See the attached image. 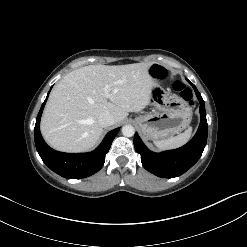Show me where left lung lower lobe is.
Wrapping results in <instances>:
<instances>
[{"label":"left lung lower lobe","mask_w":247,"mask_h":247,"mask_svg":"<svg viewBox=\"0 0 247 247\" xmlns=\"http://www.w3.org/2000/svg\"><path fill=\"white\" fill-rule=\"evenodd\" d=\"M187 81L194 88L200 102L201 121L194 138L181 148L154 153L147 149L137 133L134 136V146L141 155L144 168L159 177L173 178L182 175L198 161L206 146L208 125L204 100L195 85Z\"/></svg>","instance_id":"0a47b994"}]
</instances>
